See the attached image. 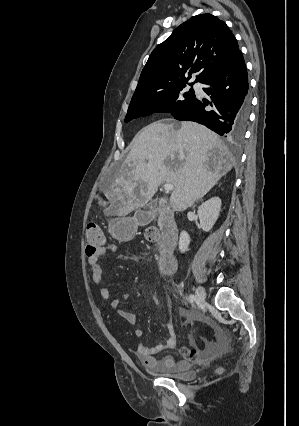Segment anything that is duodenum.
Here are the masks:
<instances>
[{"instance_id":"duodenum-1","label":"duodenum","mask_w":299,"mask_h":426,"mask_svg":"<svg viewBox=\"0 0 299 426\" xmlns=\"http://www.w3.org/2000/svg\"><path fill=\"white\" fill-rule=\"evenodd\" d=\"M153 217L160 220L163 237L159 243V268L164 274H173L176 270L175 247L178 238V228L173 215L168 210L160 209L155 212L142 213L139 223H147Z\"/></svg>"}]
</instances>
